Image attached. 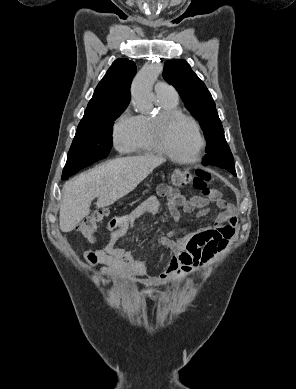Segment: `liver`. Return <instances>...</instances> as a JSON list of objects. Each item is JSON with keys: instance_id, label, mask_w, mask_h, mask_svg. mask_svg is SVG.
I'll list each match as a JSON object with an SVG mask.
<instances>
[{"instance_id": "liver-1", "label": "liver", "mask_w": 296, "mask_h": 389, "mask_svg": "<svg viewBox=\"0 0 296 389\" xmlns=\"http://www.w3.org/2000/svg\"><path fill=\"white\" fill-rule=\"evenodd\" d=\"M165 162L153 154L111 160L84 172L67 182L63 189L59 224L62 232H70L97 207L104 208L133 191L156 167Z\"/></svg>"}]
</instances>
